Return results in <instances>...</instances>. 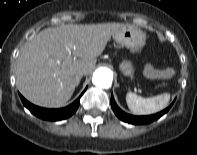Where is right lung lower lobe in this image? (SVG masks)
I'll return each mask as SVG.
<instances>
[{"mask_svg":"<svg viewBox=\"0 0 197 155\" xmlns=\"http://www.w3.org/2000/svg\"><path fill=\"white\" fill-rule=\"evenodd\" d=\"M80 97L76 99L72 104H70L69 106L65 108L46 109V108H41V107L31 104L24 97L20 95L22 103L24 104L26 108L30 110L31 113H33L34 115H36L37 117L41 119L49 120V121L63 120V119L70 117L72 114H74L75 111L79 107Z\"/></svg>","mask_w":197,"mask_h":155,"instance_id":"right-lung-lower-lobe-1","label":"right lung lower lobe"}]
</instances>
